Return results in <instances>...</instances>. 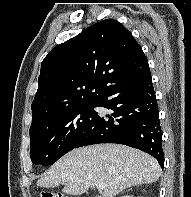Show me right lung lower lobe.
Instances as JSON below:
<instances>
[{"label": "right lung lower lobe", "instance_id": "obj_1", "mask_svg": "<svg viewBox=\"0 0 191 197\" xmlns=\"http://www.w3.org/2000/svg\"><path fill=\"white\" fill-rule=\"evenodd\" d=\"M97 106L113 112L97 115L75 148L119 143L149 153L163 168L162 131L149 65L107 88Z\"/></svg>", "mask_w": 191, "mask_h": 197}]
</instances>
